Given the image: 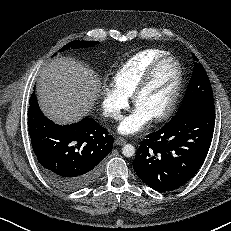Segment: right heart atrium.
Returning a JSON list of instances; mask_svg holds the SVG:
<instances>
[{
  "mask_svg": "<svg viewBox=\"0 0 231 231\" xmlns=\"http://www.w3.org/2000/svg\"><path fill=\"white\" fill-rule=\"evenodd\" d=\"M129 98L116 86L106 85L102 88V107L106 117L118 120L127 108Z\"/></svg>",
  "mask_w": 231,
  "mask_h": 231,
  "instance_id": "right-heart-atrium-1",
  "label": "right heart atrium"
}]
</instances>
